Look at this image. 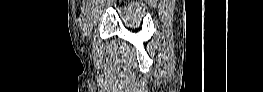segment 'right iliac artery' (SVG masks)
Here are the masks:
<instances>
[{
    "instance_id": "right-iliac-artery-1",
    "label": "right iliac artery",
    "mask_w": 263,
    "mask_h": 92,
    "mask_svg": "<svg viewBox=\"0 0 263 92\" xmlns=\"http://www.w3.org/2000/svg\"><path fill=\"white\" fill-rule=\"evenodd\" d=\"M93 0H88L87 4H86V9L83 13V19H84V28H87V26H89V14H90V10L93 7L92 4Z\"/></svg>"
}]
</instances>
